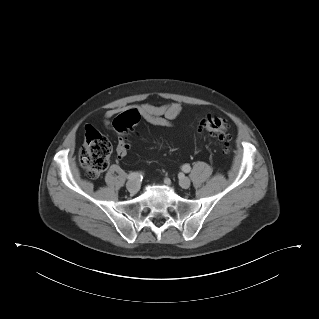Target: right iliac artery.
Here are the masks:
<instances>
[{
	"label": "right iliac artery",
	"instance_id": "82829eb1",
	"mask_svg": "<svg viewBox=\"0 0 319 319\" xmlns=\"http://www.w3.org/2000/svg\"><path fill=\"white\" fill-rule=\"evenodd\" d=\"M127 178L129 180H136V179L142 178V174L139 172H131Z\"/></svg>",
	"mask_w": 319,
	"mask_h": 319
}]
</instances>
